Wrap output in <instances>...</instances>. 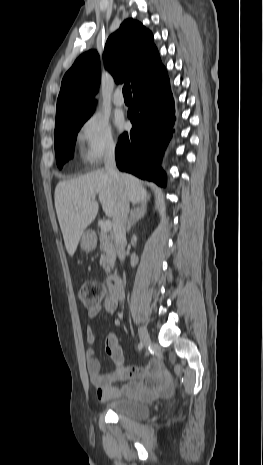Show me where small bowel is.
I'll return each instance as SVG.
<instances>
[{
  "label": "small bowel",
  "mask_w": 263,
  "mask_h": 465,
  "mask_svg": "<svg viewBox=\"0 0 263 465\" xmlns=\"http://www.w3.org/2000/svg\"><path fill=\"white\" fill-rule=\"evenodd\" d=\"M119 298L110 292L102 304L89 308L90 318H95L101 311L112 314L118 306ZM86 341L91 346L95 341L92 327L86 329ZM105 350L113 361L115 368L111 373H102L101 364L93 349L87 350V370L91 384L97 390L99 400L106 401L122 396L151 399L170 390L171 380L168 372L156 360L143 366H125L122 348L115 335L105 340ZM126 382L121 387L116 382Z\"/></svg>",
  "instance_id": "obj_1"
}]
</instances>
